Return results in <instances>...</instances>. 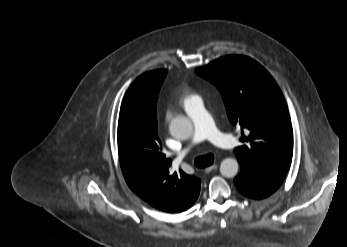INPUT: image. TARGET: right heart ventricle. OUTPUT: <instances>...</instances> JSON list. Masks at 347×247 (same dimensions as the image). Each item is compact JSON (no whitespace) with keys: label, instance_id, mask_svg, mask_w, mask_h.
I'll use <instances>...</instances> for the list:
<instances>
[{"label":"right heart ventricle","instance_id":"right-heart-ventricle-1","mask_svg":"<svg viewBox=\"0 0 347 247\" xmlns=\"http://www.w3.org/2000/svg\"><path fill=\"white\" fill-rule=\"evenodd\" d=\"M194 97H195V95L193 93L186 90L182 96V103L185 105L187 102H189Z\"/></svg>","mask_w":347,"mask_h":247}]
</instances>
